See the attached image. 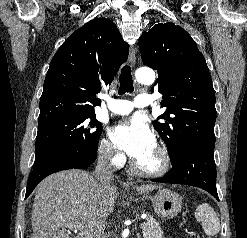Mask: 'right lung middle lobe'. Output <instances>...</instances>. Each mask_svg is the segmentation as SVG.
Listing matches in <instances>:
<instances>
[{"mask_svg":"<svg viewBox=\"0 0 247 238\" xmlns=\"http://www.w3.org/2000/svg\"><path fill=\"white\" fill-rule=\"evenodd\" d=\"M101 133L102 124L95 114L39 122L35 162L63 151L96 153Z\"/></svg>","mask_w":247,"mask_h":238,"instance_id":"1","label":"right lung middle lobe"}]
</instances>
